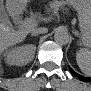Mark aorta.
I'll list each match as a JSON object with an SVG mask.
<instances>
[{
    "instance_id": "obj_1",
    "label": "aorta",
    "mask_w": 91,
    "mask_h": 91,
    "mask_svg": "<svg viewBox=\"0 0 91 91\" xmlns=\"http://www.w3.org/2000/svg\"><path fill=\"white\" fill-rule=\"evenodd\" d=\"M54 39L56 42H58L62 45L67 44L69 41V34H68L67 29H65L62 26L57 27L55 29Z\"/></svg>"
}]
</instances>
